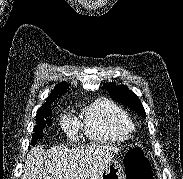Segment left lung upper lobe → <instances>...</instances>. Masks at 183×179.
<instances>
[{
  "label": "left lung upper lobe",
  "instance_id": "1",
  "mask_svg": "<svg viewBox=\"0 0 183 179\" xmlns=\"http://www.w3.org/2000/svg\"><path fill=\"white\" fill-rule=\"evenodd\" d=\"M103 88L108 90L109 95L115 101L131 107L132 110L140 115H145V110L139 98L127 86H115L113 83H106Z\"/></svg>",
  "mask_w": 183,
  "mask_h": 179
}]
</instances>
